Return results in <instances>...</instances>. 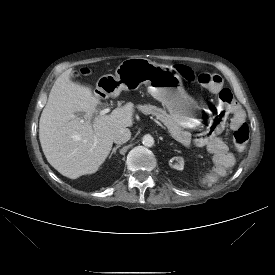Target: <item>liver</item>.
<instances>
[{
	"label": "liver",
	"mask_w": 275,
	"mask_h": 275,
	"mask_svg": "<svg viewBox=\"0 0 275 275\" xmlns=\"http://www.w3.org/2000/svg\"><path fill=\"white\" fill-rule=\"evenodd\" d=\"M73 69L54 82L39 121V139L52 167L70 179L95 173L108 157L113 135L133 125L134 105L100 115V97L72 81ZM83 113L82 119L77 114Z\"/></svg>",
	"instance_id": "1"
}]
</instances>
